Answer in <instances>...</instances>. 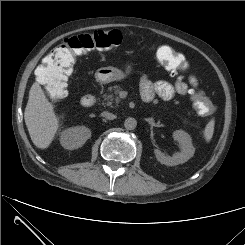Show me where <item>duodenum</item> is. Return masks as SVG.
<instances>
[{
  "instance_id": "410a0bca",
  "label": "duodenum",
  "mask_w": 245,
  "mask_h": 245,
  "mask_svg": "<svg viewBox=\"0 0 245 245\" xmlns=\"http://www.w3.org/2000/svg\"><path fill=\"white\" fill-rule=\"evenodd\" d=\"M95 102V97L92 94H84L80 98V105L84 108L91 107Z\"/></svg>"
}]
</instances>
